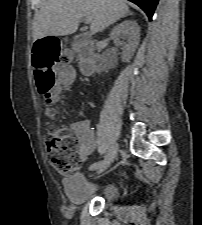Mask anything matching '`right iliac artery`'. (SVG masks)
Returning a JSON list of instances; mask_svg holds the SVG:
<instances>
[{
  "label": "right iliac artery",
  "mask_w": 202,
  "mask_h": 225,
  "mask_svg": "<svg viewBox=\"0 0 202 225\" xmlns=\"http://www.w3.org/2000/svg\"><path fill=\"white\" fill-rule=\"evenodd\" d=\"M103 162H104V160L99 161V162H96V163L90 165L89 169H90V170L97 169V168H99V167L103 164Z\"/></svg>",
  "instance_id": "1"
}]
</instances>
